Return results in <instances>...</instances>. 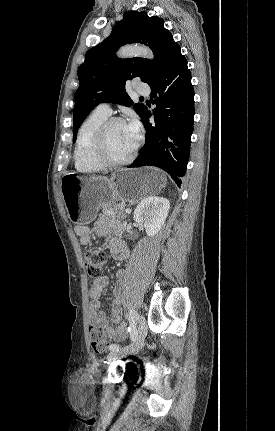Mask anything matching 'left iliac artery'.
I'll return each mask as SVG.
<instances>
[{"label": "left iliac artery", "mask_w": 275, "mask_h": 431, "mask_svg": "<svg viewBox=\"0 0 275 431\" xmlns=\"http://www.w3.org/2000/svg\"><path fill=\"white\" fill-rule=\"evenodd\" d=\"M128 316H129V323H130V327H129L130 338H131V341L134 342L137 336L136 321L138 319V314L133 308H131L129 310ZM119 348L120 346L117 344H111L109 347L111 351L119 350Z\"/></svg>", "instance_id": "obj_1"}]
</instances>
